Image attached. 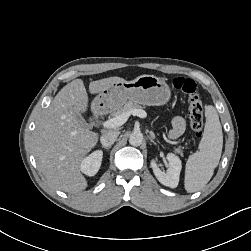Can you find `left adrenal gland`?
Segmentation results:
<instances>
[{
  "instance_id": "a2214340",
  "label": "left adrenal gland",
  "mask_w": 251,
  "mask_h": 251,
  "mask_svg": "<svg viewBox=\"0 0 251 251\" xmlns=\"http://www.w3.org/2000/svg\"><path fill=\"white\" fill-rule=\"evenodd\" d=\"M152 138L154 139V138H155V136H154V135H152Z\"/></svg>"
}]
</instances>
